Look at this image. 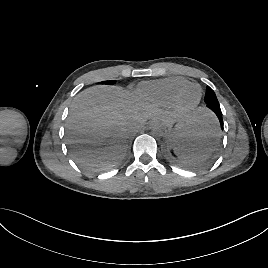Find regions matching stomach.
Masks as SVG:
<instances>
[{
	"label": "stomach",
	"instance_id": "1",
	"mask_svg": "<svg viewBox=\"0 0 268 268\" xmlns=\"http://www.w3.org/2000/svg\"><path fill=\"white\" fill-rule=\"evenodd\" d=\"M192 125L190 123L177 122L169 127V137L174 148L189 147L188 139L191 135Z\"/></svg>",
	"mask_w": 268,
	"mask_h": 268
}]
</instances>
